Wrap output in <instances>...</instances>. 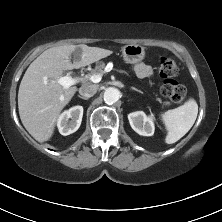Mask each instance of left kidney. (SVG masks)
I'll list each match as a JSON object with an SVG mask.
<instances>
[{"label":"left kidney","mask_w":222,"mask_h":222,"mask_svg":"<svg viewBox=\"0 0 222 222\" xmlns=\"http://www.w3.org/2000/svg\"><path fill=\"white\" fill-rule=\"evenodd\" d=\"M129 123L132 129L143 136H152L154 134L153 116H147L143 111H137L128 115Z\"/></svg>","instance_id":"1"}]
</instances>
